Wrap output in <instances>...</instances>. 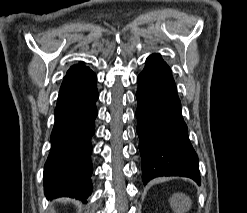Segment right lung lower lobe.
Instances as JSON below:
<instances>
[{
	"label": "right lung lower lobe",
	"mask_w": 247,
	"mask_h": 213,
	"mask_svg": "<svg viewBox=\"0 0 247 213\" xmlns=\"http://www.w3.org/2000/svg\"><path fill=\"white\" fill-rule=\"evenodd\" d=\"M96 75L87 67L68 71L63 79L44 167L47 198L61 196L85 202L92 193L91 137L97 116Z\"/></svg>",
	"instance_id": "obj_1"
}]
</instances>
